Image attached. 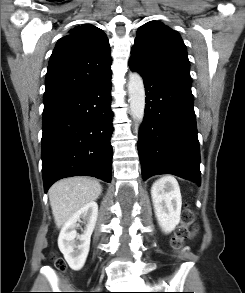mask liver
<instances>
[{
    "label": "liver",
    "instance_id": "6515ba94",
    "mask_svg": "<svg viewBox=\"0 0 245 293\" xmlns=\"http://www.w3.org/2000/svg\"><path fill=\"white\" fill-rule=\"evenodd\" d=\"M101 192L100 183L86 177L66 178L53 184L48 194L57 228L87 203L95 201Z\"/></svg>",
    "mask_w": 245,
    "mask_h": 293
}]
</instances>
